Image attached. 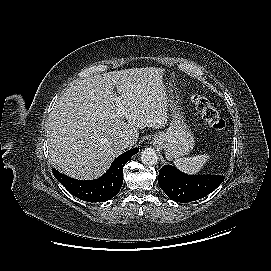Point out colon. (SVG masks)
<instances>
[{
  "mask_svg": "<svg viewBox=\"0 0 271 271\" xmlns=\"http://www.w3.org/2000/svg\"><path fill=\"white\" fill-rule=\"evenodd\" d=\"M191 100L202 113V116L208 126L214 131H223L226 127L225 121L219 116L217 110L210 102L198 93L191 95Z\"/></svg>",
  "mask_w": 271,
  "mask_h": 271,
  "instance_id": "colon-1",
  "label": "colon"
}]
</instances>
